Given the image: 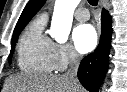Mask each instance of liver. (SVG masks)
I'll use <instances>...</instances> for the list:
<instances>
[{"label": "liver", "instance_id": "1", "mask_svg": "<svg viewBox=\"0 0 127 92\" xmlns=\"http://www.w3.org/2000/svg\"><path fill=\"white\" fill-rule=\"evenodd\" d=\"M4 92H86L65 75L20 74L6 79Z\"/></svg>", "mask_w": 127, "mask_h": 92}]
</instances>
